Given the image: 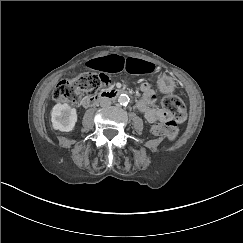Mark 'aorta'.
<instances>
[{"instance_id": "1", "label": "aorta", "mask_w": 243, "mask_h": 243, "mask_svg": "<svg viewBox=\"0 0 243 243\" xmlns=\"http://www.w3.org/2000/svg\"><path fill=\"white\" fill-rule=\"evenodd\" d=\"M128 101H129V97H128V95H126V94H120L119 96H118V102L120 103V104H127L128 103Z\"/></svg>"}]
</instances>
